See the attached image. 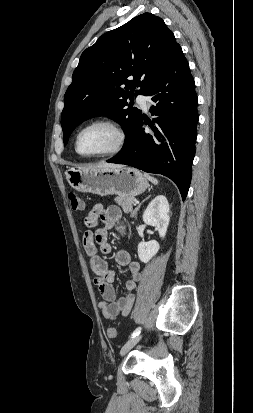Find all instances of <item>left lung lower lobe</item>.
Segmentation results:
<instances>
[{
	"instance_id": "1",
	"label": "left lung lower lobe",
	"mask_w": 253,
	"mask_h": 413,
	"mask_svg": "<svg viewBox=\"0 0 253 413\" xmlns=\"http://www.w3.org/2000/svg\"><path fill=\"white\" fill-rule=\"evenodd\" d=\"M148 96L154 102L150 108L154 123H148L153 134L145 133L142 126L147 123L141 119L132 142L107 162L162 174L175 182L184 200L192 177L199 118L195 82L181 47Z\"/></svg>"
}]
</instances>
